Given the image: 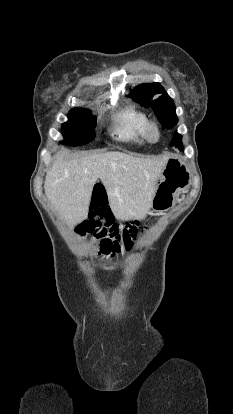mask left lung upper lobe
<instances>
[{"label": "left lung upper lobe", "instance_id": "1", "mask_svg": "<svg viewBox=\"0 0 233 414\" xmlns=\"http://www.w3.org/2000/svg\"><path fill=\"white\" fill-rule=\"evenodd\" d=\"M131 97L142 106H151L164 128L171 129L177 124L174 102L159 83L138 85L132 90Z\"/></svg>", "mask_w": 233, "mask_h": 414}]
</instances>
